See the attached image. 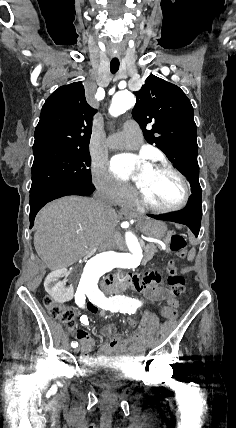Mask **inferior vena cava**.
I'll return each mask as SVG.
<instances>
[{"label":"inferior vena cava","mask_w":236,"mask_h":428,"mask_svg":"<svg viewBox=\"0 0 236 428\" xmlns=\"http://www.w3.org/2000/svg\"><path fill=\"white\" fill-rule=\"evenodd\" d=\"M98 192L94 194L96 202H99L100 208H106V210H111V204L109 198V192H112L113 186L110 182V178H103L101 186L97 188Z\"/></svg>","instance_id":"obj_1"}]
</instances>
